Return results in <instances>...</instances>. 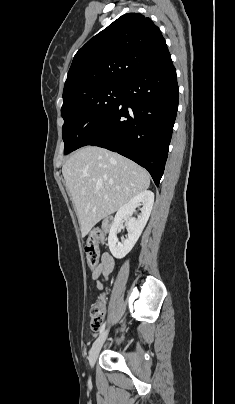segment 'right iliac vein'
I'll list each match as a JSON object with an SVG mask.
<instances>
[{"label": "right iliac vein", "mask_w": 235, "mask_h": 404, "mask_svg": "<svg viewBox=\"0 0 235 404\" xmlns=\"http://www.w3.org/2000/svg\"><path fill=\"white\" fill-rule=\"evenodd\" d=\"M108 331H105L93 344L90 353H89V363L90 366L93 368L98 357V354L101 350L103 343L107 338Z\"/></svg>", "instance_id": "63e3f726"}]
</instances>
